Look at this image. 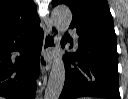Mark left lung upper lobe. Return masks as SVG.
Here are the masks:
<instances>
[{
	"label": "left lung upper lobe",
	"instance_id": "5c2ea615",
	"mask_svg": "<svg viewBox=\"0 0 128 99\" xmlns=\"http://www.w3.org/2000/svg\"><path fill=\"white\" fill-rule=\"evenodd\" d=\"M66 4L73 13L71 25L104 29L115 33L107 0H53L52 5Z\"/></svg>",
	"mask_w": 128,
	"mask_h": 99
}]
</instances>
